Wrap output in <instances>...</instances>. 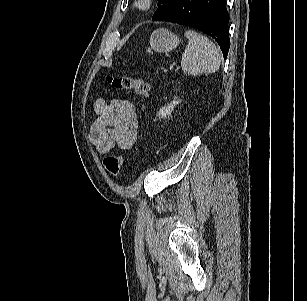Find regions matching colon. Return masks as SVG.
Listing matches in <instances>:
<instances>
[{"instance_id": "1", "label": "colon", "mask_w": 307, "mask_h": 301, "mask_svg": "<svg viewBox=\"0 0 307 301\" xmlns=\"http://www.w3.org/2000/svg\"><path fill=\"white\" fill-rule=\"evenodd\" d=\"M107 80L113 87L131 91L134 96L147 97L150 92L149 84L145 80L130 75H109ZM123 164L124 157L122 155L110 156L104 159L106 169L114 176L120 173Z\"/></svg>"}]
</instances>
